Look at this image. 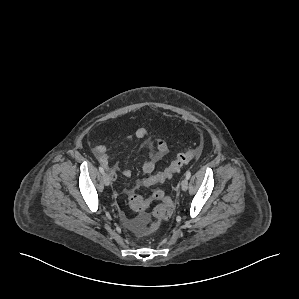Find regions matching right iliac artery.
<instances>
[{"label": "right iliac artery", "instance_id": "82829eb1", "mask_svg": "<svg viewBox=\"0 0 299 299\" xmlns=\"http://www.w3.org/2000/svg\"><path fill=\"white\" fill-rule=\"evenodd\" d=\"M99 171L103 174L104 173V169L100 166L99 167Z\"/></svg>", "mask_w": 299, "mask_h": 299}]
</instances>
